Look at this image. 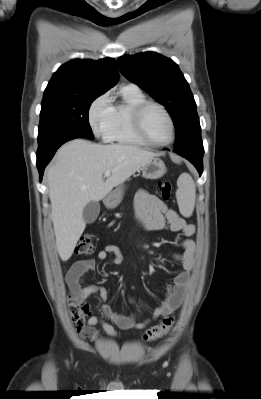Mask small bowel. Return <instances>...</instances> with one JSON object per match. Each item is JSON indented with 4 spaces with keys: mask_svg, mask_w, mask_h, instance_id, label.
Segmentation results:
<instances>
[{
    "mask_svg": "<svg viewBox=\"0 0 261 399\" xmlns=\"http://www.w3.org/2000/svg\"><path fill=\"white\" fill-rule=\"evenodd\" d=\"M135 216L143 229L146 231H160L168 228L172 232H180L185 238L180 241L182 253H177L174 258L182 264L183 270L176 276L174 284L168 286L166 297L157 306L152 318L137 321L133 314L127 315L113 310L109 305L101 306L102 315L111 323L121 329H145L154 320L173 313L184 301L189 288L190 274L194 266V259L197 252L196 243L190 239L195 232L193 224L187 223L183 217L174 209L170 208L156 195L145 190H140L134 200ZM109 256L114 264H121L124 260L123 251L114 245H107L97 253V260L104 261ZM96 267V260L93 258L77 261L66 274V283L71 293L82 301H85L92 294L99 293L101 299H107V291L104 287L90 285L83 286V280L87 273ZM97 316L87 320V327L80 333L85 338H92L99 334L100 330L109 336H116L114 326Z\"/></svg>",
    "mask_w": 261,
    "mask_h": 399,
    "instance_id": "c3829d8e",
    "label": "small bowel"
}]
</instances>
